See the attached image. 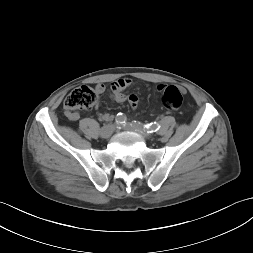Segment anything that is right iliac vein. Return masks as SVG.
Here are the masks:
<instances>
[{
	"label": "right iliac vein",
	"instance_id": "obj_1",
	"mask_svg": "<svg viewBox=\"0 0 253 253\" xmlns=\"http://www.w3.org/2000/svg\"><path fill=\"white\" fill-rule=\"evenodd\" d=\"M115 130V126L112 124L105 125L100 130V136L102 138H109Z\"/></svg>",
	"mask_w": 253,
	"mask_h": 253
}]
</instances>
